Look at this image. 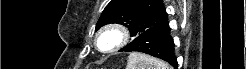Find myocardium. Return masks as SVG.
<instances>
[{"label": "myocardium", "instance_id": "obj_1", "mask_svg": "<svg viewBox=\"0 0 246 69\" xmlns=\"http://www.w3.org/2000/svg\"><path fill=\"white\" fill-rule=\"evenodd\" d=\"M111 34L115 37L116 44L110 48L107 51H103V53H112L114 51H117L121 48H123L129 40V32L128 30L119 24H110L107 26H104L95 37V45L98 49H101V38L104 35Z\"/></svg>", "mask_w": 246, "mask_h": 69}]
</instances>
